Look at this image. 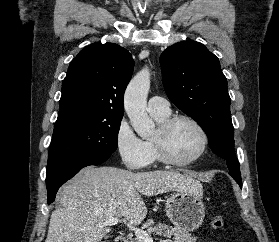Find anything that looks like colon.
Here are the masks:
<instances>
[{
	"label": "colon",
	"instance_id": "1",
	"mask_svg": "<svg viewBox=\"0 0 279 242\" xmlns=\"http://www.w3.org/2000/svg\"><path fill=\"white\" fill-rule=\"evenodd\" d=\"M212 226L218 230L223 229L225 227V221L223 217L220 215L214 216V218L212 219Z\"/></svg>",
	"mask_w": 279,
	"mask_h": 242
}]
</instances>
